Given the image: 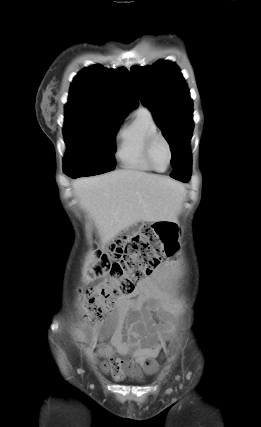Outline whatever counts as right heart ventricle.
I'll use <instances>...</instances> for the list:
<instances>
[{
	"mask_svg": "<svg viewBox=\"0 0 261 427\" xmlns=\"http://www.w3.org/2000/svg\"><path fill=\"white\" fill-rule=\"evenodd\" d=\"M157 131L151 112L144 107L138 108L117 135L115 156L122 167L143 172L153 170L145 159L144 150L147 138Z\"/></svg>",
	"mask_w": 261,
	"mask_h": 427,
	"instance_id": "e07e8e85",
	"label": "right heart ventricle"
}]
</instances>
